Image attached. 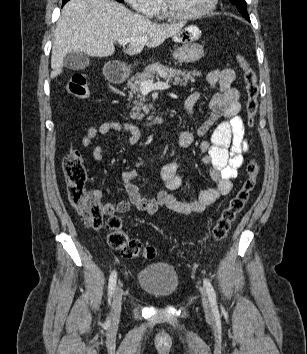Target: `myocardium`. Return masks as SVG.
<instances>
[{
	"label": "myocardium",
	"instance_id": "1",
	"mask_svg": "<svg viewBox=\"0 0 307 354\" xmlns=\"http://www.w3.org/2000/svg\"><path fill=\"white\" fill-rule=\"evenodd\" d=\"M218 1L219 0H210V2L205 7V9H203L200 12L192 13V14H184L176 11L170 4L169 0H162V6L165 14L171 19L188 21V20H198L208 16L216 9L218 5Z\"/></svg>",
	"mask_w": 307,
	"mask_h": 354
}]
</instances>
